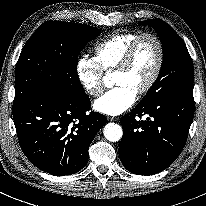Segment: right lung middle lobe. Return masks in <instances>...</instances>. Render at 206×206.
I'll use <instances>...</instances> for the list:
<instances>
[{
  "mask_svg": "<svg viewBox=\"0 0 206 206\" xmlns=\"http://www.w3.org/2000/svg\"><path fill=\"white\" fill-rule=\"evenodd\" d=\"M99 34V29L84 24L43 23L26 42L18 59L13 106H20L45 91L83 96L77 58Z\"/></svg>",
  "mask_w": 206,
  "mask_h": 206,
  "instance_id": "1",
  "label": "right lung middle lobe"
}]
</instances>
